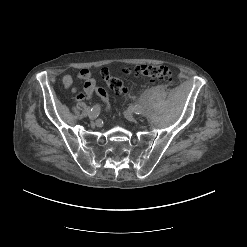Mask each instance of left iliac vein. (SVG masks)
Masks as SVG:
<instances>
[{"instance_id":"4c4485c4","label":"left iliac vein","mask_w":247,"mask_h":247,"mask_svg":"<svg viewBox=\"0 0 247 247\" xmlns=\"http://www.w3.org/2000/svg\"><path fill=\"white\" fill-rule=\"evenodd\" d=\"M124 115H125V117H126L129 121H134V120H135V118H134L133 114L130 112V110L125 111V112H124Z\"/></svg>"}]
</instances>
